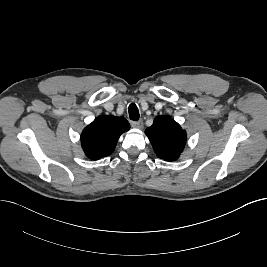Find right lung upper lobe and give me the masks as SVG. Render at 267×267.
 I'll list each match as a JSON object with an SVG mask.
<instances>
[{
    "label": "right lung upper lobe",
    "mask_w": 267,
    "mask_h": 267,
    "mask_svg": "<svg viewBox=\"0 0 267 267\" xmlns=\"http://www.w3.org/2000/svg\"><path fill=\"white\" fill-rule=\"evenodd\" d=\"M130 128L125 118L113 115L98 116L81 134V145L86 156L97 160L110 155L120 135Z\"/></svg>",
    "instance_id": "1"
}]
</instances>
